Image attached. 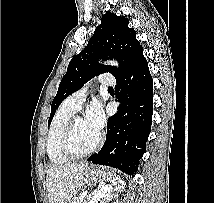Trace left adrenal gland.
<instances>
[{"mask_svg": "<svg viewBox=\"0 0 214 203\" xmlns=\"http://www.w3.org/2000/svg\"><path fill=\"white\" fill-rule=\"evenodd\" d=\"M114 191H117V188L106 193L104 199L101 200L100 203H106V200H111L115 196V194L113 193Z\"/></svg>", "mask_w": 214, "mask_h": 203, "instance_id": "obj_1", "label": "left adrenal gland"}]
</instances>
